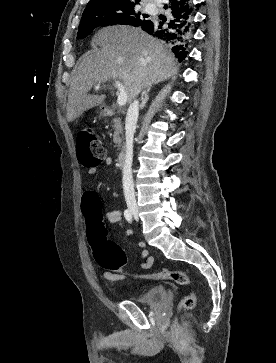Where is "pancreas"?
<instances>
[{
    "label": "pancreas",
    "mask_w": 276,
    "mask_h": 363,
    "mask_svg": "<svg viewBox=\"0 0 276 363\" xmlns=\"http://www.w3.org/2000/svg\"><path fill=\"white\" fill-rule=\"evenodd\" d=\"M112 127L114 129L113 141L115 143V146L120 148L122 146L121 135L123 134V127L121 120L119 118H114L112 120Z\"/></svg>",
    "instance_id": "1"
}]
</instances>
